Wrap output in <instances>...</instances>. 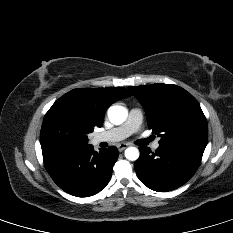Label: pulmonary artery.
I'll return each instance as SVG.
<instances>
[{"label":"pulmonary artery","instance_id":"pulmonary-artery-1","mask_svg":"<svg viewBox=\"0 0 233 233\" xmlns=\"http://www.w3.org/2000/svg\"><path fill=\"white\" fill-rule=\"evenodd\" d=\"M142 117L143 116L140 109H131L127 120L123 124L110 130L96 134L93 138V142H116L127 138L131 134L138 131L142 123ZM152 147L154 149H157L159 147V142L155 141Z\"/></svg>","mask_w":233,"mask_h":233}]
</instances>
